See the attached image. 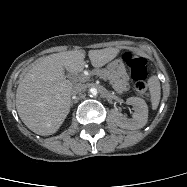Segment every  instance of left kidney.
I'll use <instances>...</instances> for the list:
<instances>
[{"label": "left kidney", "mask_w": 187, "mask_h": 187, "mask_svg": "<svg viewBox=\"0 0 187 187\" xmlns=\"http://www.w3.org/2000/svg\"><path fill=\"white\" fill-rule=\"evenodd\" d=\"M126 102L128 105L134 107L135 112L133 118L126 119L117 109H113L111 115L116 125L129 130L140 129L145 126L148 119V107L146 102L139 97H130Z\"/></svg>", "instance_id": "left-kidney-1"}]
</instances>
